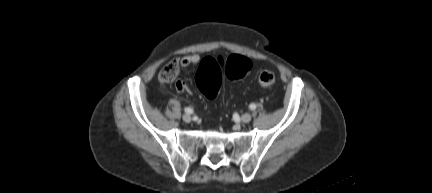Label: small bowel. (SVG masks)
Masks as SVG:
<instances>
[{
	"label": "small bowel",
	"mask_w": 432,
	"mask_h": 193,
	"mask_svg": "<svg viewBox=\"0 0 432 193\" xmlns=\"http://www.w3.org/2000/svg\"><path fill=\"white\" fill-rule=\"evenodd\" d=\"M200 61V55L197 53L188 54L181 58L180 64L182 67H189L198 64ZM179 90H182L185 84L182 81H178L176 84Z\"/></svg>",
	"instance_id": "small-bowel-1"
}]
</instances>
